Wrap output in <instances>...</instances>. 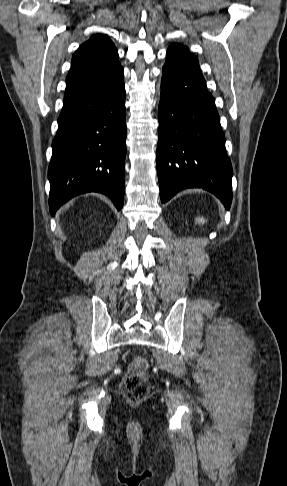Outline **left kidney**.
Returning a JSON list of instances; mask_svg holds the SVG:
<instances>
[{"label": "left kidney", "instance_id": "left-kidney-1", "mask_svg": "<svg viewBox=\"0 0 287 486\" xmlns=\"http://www.w3.org/2000/svg\"><path fill=\"white\" fill-rule=\"evenodd\" d=\"M205 222H206V220L203 217L196 218V223H198V224H204Z\"/></svg>", "mask_w": 287, "mask_h": 486}]
</instances>
